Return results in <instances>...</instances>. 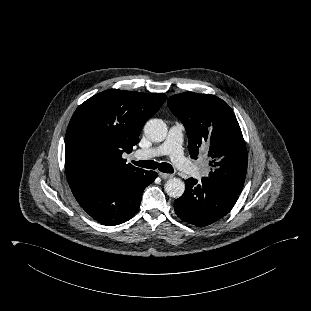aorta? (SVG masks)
I'll return each mask as SVG.
<instances>
[{
	"mask_svg": "<svg viewBox=\"0 0 311 311\" xmlns=\"http://www.w3.org/2000/svg\"><path fill=\"white\" fill-rule=\"evenodd\" d=\"M167 125L161 119H150L144 126L145 136L152 142H161L167 136ZM167 195L173 198H179L185 191V184L179 178H170L165 183Z\"/></svg>",
	"mask_w": 311,
	"mask_h": 311,
	"instance_id": "aorta-1",
	"label": "aorta"
}]
</instances>
